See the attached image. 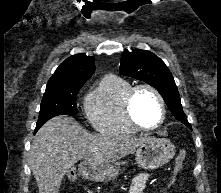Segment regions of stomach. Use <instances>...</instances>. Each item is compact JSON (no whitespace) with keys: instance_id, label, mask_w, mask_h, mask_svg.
Listing matches in <instances>:
<instances>
[{"instance_id":"0dacf381","label":"stomach","mask_w":221,"mask_h":193,"mask_svg":"<svg viewBox=\"0 0 221 193\" xmlns=\"http://www.w3.org/2000/svg\"><path fill=\"white\" fill-rule=\"evenodd\" d=\"M175 155V146L167 139L150 138L140 145L135 153V160L139 167L152 170L168 163ZM114 165L93 166L87 161L81 162L79 173L83 177L94 181H106L117 176Z\"/></svg>"}]
</instances>
